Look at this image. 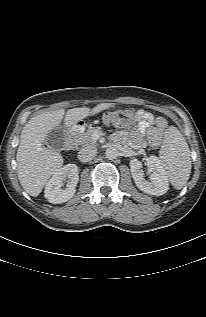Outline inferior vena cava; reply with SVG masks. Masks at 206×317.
Segmentation results:
<instances>
[{
  "label": "inferior vena cava",
  "instance_id": "1",
  "mask_svg": "<svg viewBox=\"0 0 206 317\" xmlns=\"http://www.w3.org/2000/svg\"><path fill=\"white\" fill-rule=\"evenodd\" d=\"M96 155V150L92 147H84L78 152V159L81 162H89L91 161Z\"/></svg>",
  "mask_w": 206,
  "mask_h": 317
}]
</instances>
